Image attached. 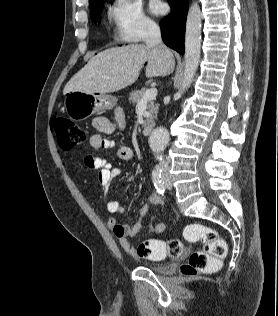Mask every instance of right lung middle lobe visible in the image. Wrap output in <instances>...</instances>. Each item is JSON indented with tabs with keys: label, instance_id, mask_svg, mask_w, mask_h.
Instances as JSON below:
<instances>
[{
	"label": "right lung middle lobe",
	"instance_id": "1",
	"mask_svg": "<svg viewBox=\"0 0 278 316\" xmlns=\"http://www.w3.org/2000/svg\"><path fill=\"white\" fill-rule=\"evenodd\" d=\"M103 3L104 1L100 2L99 4H97L96 6L90 8V15L93 19V21L96 23H100V20H101V16H100V13H101V10H102V6H103Z\"/></svg>",
	"mask_w": 278,
	"mask_h": 316
}]
</instances>
